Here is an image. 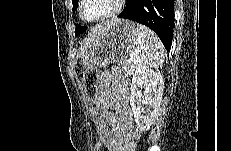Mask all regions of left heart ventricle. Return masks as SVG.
<instances>
[{
    "instance_id": "1",
    "label": "left heart ventricle",
    "mask_w": 231,
    "mask_h": 151,
    "mask_svg": "<svg viewBox=\"0 0 231 151\" xmlns=\"http://www.w3.org/2000/svg\"><path fill=\"white\" fill-rule=\"evenodd\" d=\"M115 0H87L84 7V15L87 18H95L106 14L114 7Z\"/></svg>"
}]
</instances>
